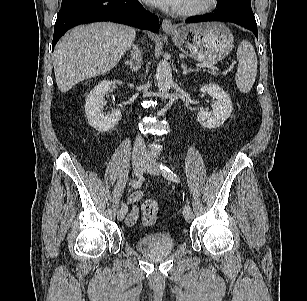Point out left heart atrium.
Instances as JSON below:
<instances>
[{
	"label": "left heart atrium",
	"instance_id": "39dd6f15",
	"mask_svg": "<svg viewBox=\"0 0 307 301\" xmlns=\"http://www.w3.org/2000/svg\"><path fill=\"white\" fill-rule=\"evenodd\" d=\"M163 9H178L181 0H143Z\"/></svg>",
	"mask_w": 307,
	"mask_h": 301
}]
</instances>
